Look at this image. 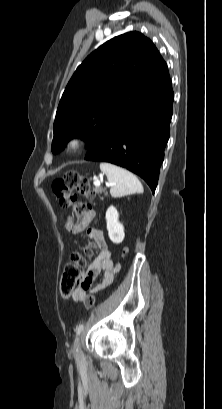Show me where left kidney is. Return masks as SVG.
<instances>
[{
	"mask_svg": "<svg viewBox=\"0 0 222 409\" xmlns=\"http://www.w3.org/2000/svg\"><path fill=\"white\" fill-rule=\"evenodd\" d=\"M119 214L114 206H110L106 211L107 230L110 240L119 244L125 237L123 225L118 220Z\"/></svg>",
	"mask_w": 222,
	"mask_h": 409,
	"instance_id": "obj_1",
	"label": "left kidney"
}]
</instances>
